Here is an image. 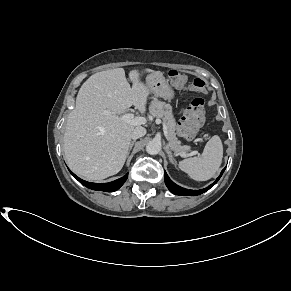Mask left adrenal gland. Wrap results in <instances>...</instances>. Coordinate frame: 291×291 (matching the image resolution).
Returning a JSON list of instances; mask_svg holds the SVG:
<instances>
[{
    "label": "left adrenal gland",
    "instance_id": "1",
    "mask_svg": "<svg viewBox=\"0 0 291 291\" xmlns=\"http://www.w3.org/2000/svg\"><path fill=\"white\" fill-rule=\"evenodd\" d=\"M165 150H166V153L168 154L169 161H170L172 164H176V162H175L174 159H173V155H172V152H171V150H170V148H169V145H166Z\"/></svg>",
    "mask_w": 291,
    "mask_h": 291
}]
</instances>
